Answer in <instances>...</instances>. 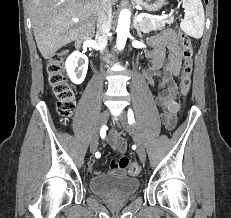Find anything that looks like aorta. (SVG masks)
I'll use <instances>...</instances> for the list:
<instances>
[{
	"instance_id": "obj_1",
	"label": "aorta",
	"mask_w": 231,
	"mask_h": 218,
	"mask_svg": "<svg viewBox=\"0 0 231 218\" xmlns=\"http://www.w3.org/2000/svg\"><path fill=\"white\" fill-rule=\"evenodd\" d=\"M130 28V14L127 10H122L117 25V48L123 49L126 44L127 37L129 35Z\"/></svg>"
}]
</instances>
